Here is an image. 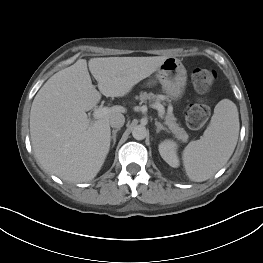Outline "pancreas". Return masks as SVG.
I'll use <instances>...</instances> for the list:
<instances>
[{"mask_svg": "<svg viewBox=\"0 0 263 263\" xmlns=\"http://www.w3.org/2000/svg\"><path fill=\"white\" fill-rule=\"evenodd\" d=\"M142 102H155L159 104L162 100L165 99L163 95H155L153 93L142 92L138 97ZM165 124L168 126L169 130L174 134L175 138L182 142L188 141V134L186 131L176 123V118L174 117L173 113H167L165 117Z\"/></svg>", "mask_w": 263, "mask_h": 263, "instance_id": "obj_1", "label": "pancreas"}]
</instances>
